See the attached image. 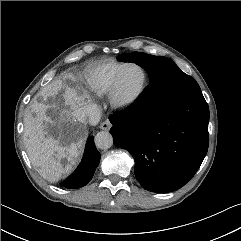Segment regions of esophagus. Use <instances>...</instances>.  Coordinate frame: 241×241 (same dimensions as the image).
Masks as SVG:
<instances>
[{
    "instance_id": "esophagus-1",
    "label": "esophagus",
    "mask_w": 241,
    "mask_h": 241,
    "mask_svg": "<svg viewBox=\"0 0 241 241\" xmlns=\"http://www.w3.org/2000/svg\"><path fill=\"white\" fill-rule=\"evenodd\" d=\"M111 126H112V124L110 123L109 120H106L100 124V128L105 131L109 130L111 128Z\"/></svg>"
}]
</instances>
